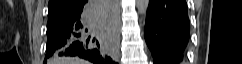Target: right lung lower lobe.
<instances>
[{
	"mask_svg": "<svg viewBox=\"0 0 242 64\" xmlns=\"http://www.w3.org/2000/svg\"><path fill=\"white\" fill-rule=\"evenodd\" d=\"M114 1L85 0L75 18L47 31L46 58L77 56L94 64H115L102 46L99 33H91L89 28L92 22L98 24V29L111 24L115 15Z\"/></svg>",
	"mask_w": 242,
	"mask_h": 64,
	"instance_id": "98d812e1",
	"label": "right lung lower lobe"
}]
</instances>
